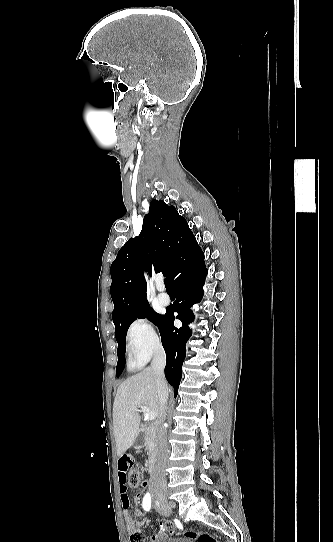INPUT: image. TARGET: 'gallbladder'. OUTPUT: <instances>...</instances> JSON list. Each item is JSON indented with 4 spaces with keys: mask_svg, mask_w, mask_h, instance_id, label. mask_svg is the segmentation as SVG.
I'll use <instances>...</instances> for the list:
<instances>
[{
    "mask_svg": "<svg viewBox=\"0 0 333 542\" xmlns=\"http://www.w3.org/2000/svg\"><path fill=\"white\" fill-rule=\"evenodd\" d=\"M138 444H140V442H138ZM139 450H137V454H138Z\"/></svg>",
    "mask_w": 333,
    "mask_h": 542,
    "instance_id": "gallbladder-1",
    "label": "gallbladder"
}]
</instances>
